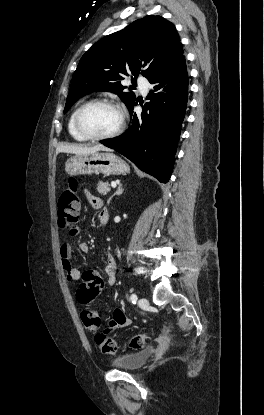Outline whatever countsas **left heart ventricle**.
Wrapping results in <instances>:
<instances>
[{
  "mask_svg": "<svg viewBox=\"0 0 264 415\" xmlns=\"http://www.w3.org/2000/svg\"><path fill=\"white\" fill-rule=\"evenodd\" d=\"M82 125L86 131L95 135L108 134L114 131L120 122V113L110 106H94L82 115Z\"/></svg>",
  "mask_w": 264,
  "mask_h": 415,
  "instance_id": "1",
  "label": "left heart ventricle"
}]
</instances>
